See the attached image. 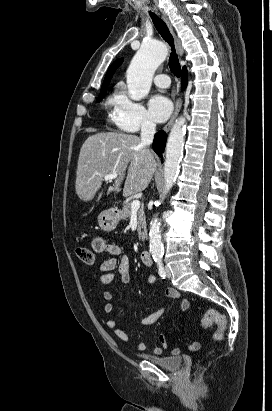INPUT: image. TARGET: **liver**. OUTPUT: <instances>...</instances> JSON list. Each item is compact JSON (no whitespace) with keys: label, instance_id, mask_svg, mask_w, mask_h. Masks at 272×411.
<instances>
[{"label":"liver","instance_id":"1","mask_svg":"<svg viewBox=\"0 0 272 411\" xmlns=\"http://www.w3.org/2000/svg\"><path fill=\"white\" fill-rule=\"evenodd\" d=\"M157 163L154 154L141 145L138 136L103 132L89 136L83 143L76 172L75 189L83 201H90L101 188L104 176L116 172L118 177L107 195L119 191L127 171L123 196L145 190L153 178Z\"/></svg>","mask_w":272,"mask_h":411}]
</instances>
